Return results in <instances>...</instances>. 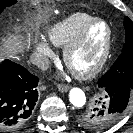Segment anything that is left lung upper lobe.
<instances>
[{
	"label": "left lung upper lobe",
	"instance_id": "5c2ea615",
	"mask_svg": "<svg viewBox=\"0 0 133 133\" xmlns=\"http://www.w3.org/2000/svg\"><path fill=\"white\" fill-rule=\"evenodd\" d=\"M124 27L126 37L122 53L111 69L98 81L99 87L123 85L133 89V22L128 17L124 20ZM104 104V99L100 98L96 108L80 112L77 116L78 124L89 131H100L112 126L115 115L106 114L101 119L95 117L97 110L104 108Z\"/></svg>",
	"mask_w": 133,
	"mask_h": 133
}]
</instances>
